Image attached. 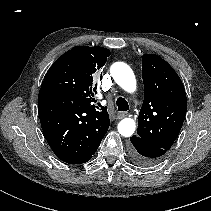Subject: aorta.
Segmentation results:
<instances>
[{
	"instance_id": "aorta-1",
	"label": "aorta",
	"mask_w": 211,
	"mask_h": 211,
	"mask_svg": "<svg viewBox=\"0 0 211 211\" xmlns=\"http://www.w3.org/2000/svg\"><path fill=\"white\" fill-rule=\"evenodd\" d=\"M110 73L115 82L125 91L133 92L136 89V79L132 69L123 62L112 64ZM118 132L124 137L133 135L136 123L132 118H124L118 124Z\"/></svg>"
}]
</instances>
